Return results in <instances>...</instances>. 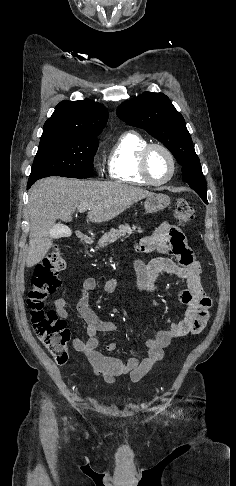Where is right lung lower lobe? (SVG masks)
I'll use <instances>...</instances> for the list:
<instances>
[{"instance_id":"1","label":"right lung lower lobe","mask_w":236,"mask_h":486,"mask_svg":"<svg viewBox=\"0 0 236 486\" xmlns=\"http://www.w3.org/2000/svg\"><path fill=\"white\" fill-rule=\"evenodd\" d=\"M34 183H35V181H30V182L28 181V186L30 187Z\"/></svg>"}]
</instances>
